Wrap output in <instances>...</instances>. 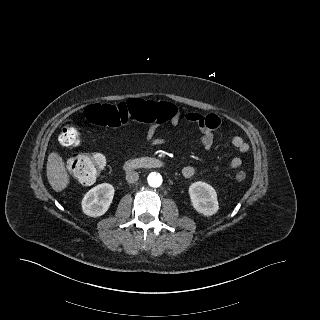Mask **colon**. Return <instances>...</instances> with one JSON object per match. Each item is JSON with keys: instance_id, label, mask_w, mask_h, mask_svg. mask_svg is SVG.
I'll list each match as a JSON object with an SVG mask.
<instances>
[{"instance_id": "5ec220e1", "label": "colon", "mask_w": 320, "mask_h": 320, "mask_svg": "<svg viewBox=\"0 0 320 320\" xmlns=\"http://www.w3.org/2000/svg\"><path fill=\"white\" fill-rule=\"evenodd\" d=\"M174 114V107L168 103H155L141 99H131L118 105L92 104L84 112L85 120L92 125L105 127H119L128 119H134L144 124H159L168 120ZM81 141L76 123L65 125L59 136V142L65 147H75ZM106 165L103 154H75L67 161L69 172L81 183L94 182ZM244 171L236 174V179L243 181Z\"/></svg>"}]
</instances>
